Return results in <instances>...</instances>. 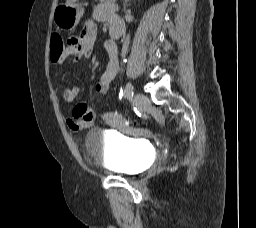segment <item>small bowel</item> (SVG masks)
<instances>
[{"mask_svg":"<svg viewBox=\"0 0 256 228\" xmlns=\"http://www.w3.org/2000/svg\"><path fill=\"white\" fill-rule=\"evenodd\" d=\"M96 21H106L110 26L121 20L114 15L113 8L105 5L96 9L94 19L89 20L84 25L78 36L70 38L68 45L64 48L62 54L56 60L51 61L55 64H62L69 56L74 57V61L89 59L97 36ZM104 48L108 54L109 61L105 71L101 74L98 82L95 85V92L99 96H104L108 93L112 82L116 79L119 71L118 48L114 41L108 40L104 44ZM54 91L59 94L66 102H73L80 89L78 86L59 89L54 88ZM95 110L85 103L77 104L72 112V116L67 119V125L73 131H82L90 128L95 120ZM126 131V129H123Z\"/></svg>","mask_w":256,"mask_h":228,"instance_id":"obj_1","label":"small bowel"}]
</instances>
